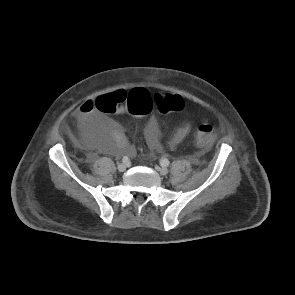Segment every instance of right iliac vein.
Wrapping results in <instances>:
<instances>
[{"label":"right iliac vein","mask_w":295,"mask_h":295,"mask_svg":"<svg viewBox=\"0 0 295 295\" xmlns=\"http://www.w3.org/2000/svg\"><path fill=\"white\" fill-rule=\"evenodd\" d=\"M117 168H118L119 172H124L126 170V168H127V165L125 163H121V164L118 165Z\"/></svg>","instance_id":"obj_1"}]
</instances>
